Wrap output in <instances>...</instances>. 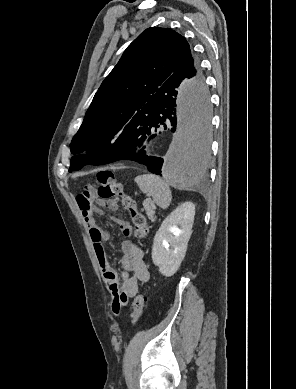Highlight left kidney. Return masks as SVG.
<instances>
[{
    "label": "left kidney",
    "mask_w": 296,
    "mask_h": 389,
    "mask_svg": "<svg viewBox=\"0 0 296 389\" xmlns=\"http://www.w3.org/2000/svg\"><path fill=\"white\" fill-rule=\"evenodd\" d=\"M195 205L185 202L178 206L161 224L154 236L152 261L159 272L170 277L180 267L192 234Z\"/></svg>",
    "instance_id": "left-kidney-1"
}]
</instances>
